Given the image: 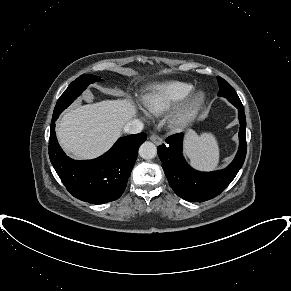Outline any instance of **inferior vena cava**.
Masks as SVG:
<instances>
[{
	"label": "inferior vena cava",
	"mask_w": 291,
	"mask_h": 291,
	"mask_svg": "<svg viewBox=\"0 0 291 291\" xmlns=\"http://www.w3.org/2000/svg\"><path fill=\"white\" fill-rule=\"evenodd\" d=\"M143 123L137 119H133L126 123V125L123 128V131L127 135L131 134H138L143 130Z\"/></svg>",
	"instance_id": "inferior-vena-cava-1"
}]
</instances>
